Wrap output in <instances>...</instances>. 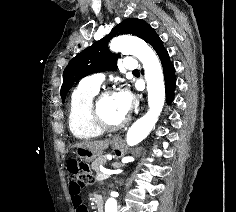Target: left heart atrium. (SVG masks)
<instances>
[{
    "mask_svg": "<svg viewBox=\"0 0 236 212\" xmlns=\"http://www.w3.org/2000/svg\"><path fill=\"white\" fill-rule=\"evenodd\" d=\"M118 112L125 117L134 105V97L129 90H120L114 94Z\"/></svg>",
    "mask_w": 236,
    "mask_h": 212,
    "instance_id": "1",
    "label": "left heart atrium"
}]
</instances>
